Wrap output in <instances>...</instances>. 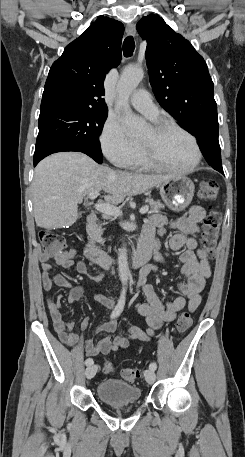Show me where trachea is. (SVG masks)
<instances>
[{
	"label": "trachea",
	"mask_w": 245,
	"mask_h": 457,
	"mask_svg": "<svg viewBox=\"0 0 245 457\" xmlns=\"http://www.w3.org/2000/svg\"><path fill=\"white\" fill-rule=\"evenodd\" d=\"M135 49V43L132 36L125 38L123 42V53L125 57H131Z\"/></svg>",
	"instance_id": "trachea-1"
}]
</instances>
